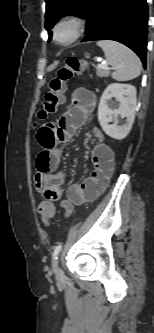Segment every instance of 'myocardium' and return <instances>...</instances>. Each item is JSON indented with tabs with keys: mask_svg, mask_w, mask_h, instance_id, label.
<instances>
[{
	"mask_svg": "<svg viewBox=\"0 0 154 333\" xmlns=\"http://www.w3.org/2000/svg\"><path fill=\"white\" fill-rule=\"evenodd\" d=\"M85 29V20L77 14L61 17L53 27V40L63 46L77 41Z\"/></svg>",
	"mask_w": 154,
	"mask_h": 333,
	"instance_id": "obj_1",
	"label": "myocardium"
}]
</instances>
